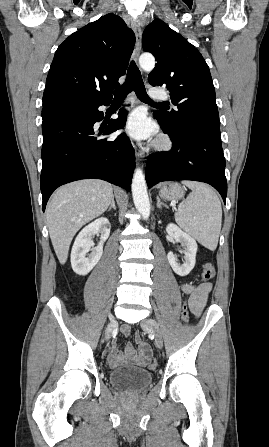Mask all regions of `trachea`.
<instances>
[{"label": "trachea", "mask_w": 269, "mask_h": 447, "mask_svg": "<svg viewBox=\"0 0 269 447\" xmlns=\"http://www.w3.org/2000/svg\"><path fill=\"white\" fill-rule=\"evenodd\" d=\"M132 90H134L137 97L142 102L152 103V101L147 96L145 86L141 77V73L136 64L134 63V61L131 62L128 68L125 82L123 83V85H121V87H119L114 91V100H124L128 95V93L132 92ZM154 105H167V104L158 103Z\"/></svg>", "instance_id": "trachea-1"}]
</instances>
